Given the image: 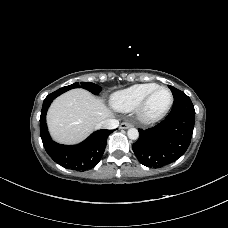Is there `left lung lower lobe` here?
I'll return each mask as SVG.
<instances>
[{
  "label": "left lung lower lobe",
  "mask_w": 228,
  "mask_h": 228,
  "mask_svg": "<svg viewBox=\"0 0 228 228\" xmlns=\"http://www.w3.org/2000/svg\"><path fill=\"white\" fill-rule=\"evenodd\" d=\"M195 110L190 98H175L171 112L164 121L147 130L138 129L139 138L133 151L141 164L160 168L180 158L190 145Z\"/></svg>",
  "instance_id": "obj_1"
}]
</instances>
